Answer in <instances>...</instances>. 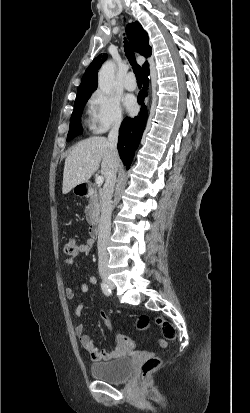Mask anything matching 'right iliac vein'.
Masks as SVG:
<instances>
[{
  "label": "right iliac vein",
  "instance_id": "1",
  "mask_svg": "<svg viewBox=\"0 0 250 413\" xmlns=\"http://www.w3.org/2000/svg\"><path fill=\"white\" fill-rule=\"evenodd\" d=\"M101 275H102V278H103L105 281L109 282V281L107 280V275H106V273H102Z\"/></svg>",
  "mask_w": 250,
  "mask_h": 413
}]
</instances>
